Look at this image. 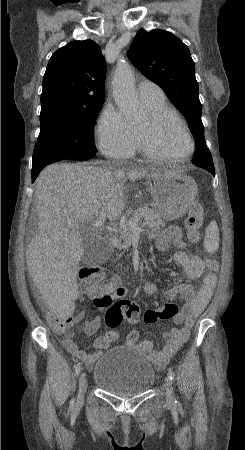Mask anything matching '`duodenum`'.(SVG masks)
<instances>
[{"mask_svg": "<svg viewBox=\"0 0 245 450\" xmlns=\"http://www.w3.org/2000/svg\"><path fill=\"white\" fill-rule=\"evenodd\" d=\"M108 243L111 248H116L118 245V241L115 238H109Z\"/></svg>", "mask_w": 245, "mask_h": 450, "instance_id": "obj_1", "label": "duodenum"}]
</instances>
